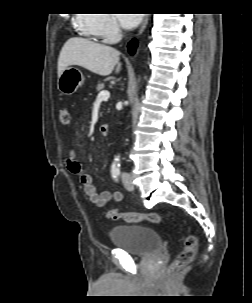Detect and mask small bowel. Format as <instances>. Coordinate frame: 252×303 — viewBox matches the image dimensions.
Segmentation results:
<instances>
[{
  "label": "small bowel",
  "instance_id": "1",
  "mask_svg": "<svg viewBox=\"0 0 252 303\" xmlns=\"http://www.w3.org/2000/svg\"><path fill=\"white\" fill-rule=\"evenodd\" d=\"M66 166L68 171L79 178L84 193L89 197L90 201L97 207L106 206L111 200L120 201L122 194L120 192L102 191L97 192L92 182L91 176L83 171L81 165L76 159L74 150H70L66 157Z\"/></svg>",
  "mask_w": 252,
  "mask_h": 303
}]
</instances>
